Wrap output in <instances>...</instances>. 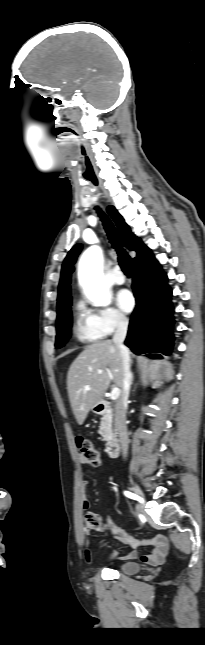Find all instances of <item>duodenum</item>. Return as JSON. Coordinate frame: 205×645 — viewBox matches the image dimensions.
I'll use <instances>...</instances> for the list:
<instances>
[{"label":"duodenum","instance_id":"1","mask_svg":"<svg viewBox=\"0 0 205 645\" xmlns=\"http://www.w3.org/2000/svg\"><path fill=\"white\" fill-rule=\"evenodd\" d=\"M96 411L99 414H105L110 411V407L107 403L101 402L97 405ZM106 452L110 458H115L120 452V443L116 437H111L106 443Z\"/></svg>","mask_w":205,"mask_h":645}]
</instances>
